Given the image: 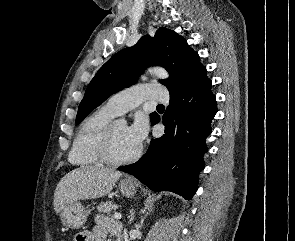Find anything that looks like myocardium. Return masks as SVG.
<instances>
[{"instance_id":"obj_1","label":"myocardium","mask_w":295,"mask_h":241,"mask_svg":"<svg viewBox=\"0 0 295 241\" xmlns=\"http://www.w3.org/2000/svg\"><path fill=\"white\" fill-rule=\"evenodd\" d=\"M116 122H111L105 130L99 144H98V155L102 162L111 166H121L133 163L137 161L143 152L142 146H139L138 150L129 157L126 158H115L112 155V142L114 136Z\"/></svg>"}]
</instances>
